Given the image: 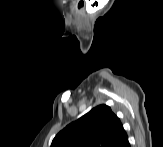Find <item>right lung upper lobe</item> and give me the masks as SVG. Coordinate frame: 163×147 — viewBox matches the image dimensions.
<instances>
[{
  "mask_svg": "<svg viewBox=\"0 0 163 147\" xmlns=\"http://www.w3.org/2000/svg\"><path fill=\"white\" fill-rule=\"evenodd\" d=\"M126 132L109 106L99 105L67 125L51 147H113Z\"/></svg>",
  "mask_w": 163,
  "mask_h": 147,
  "instance_id": "right-lung-upper-lobe-1",
  "label": "right lung upper lobe"
}]
</instances>
